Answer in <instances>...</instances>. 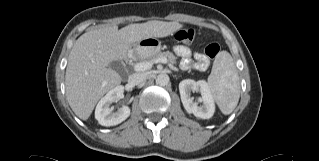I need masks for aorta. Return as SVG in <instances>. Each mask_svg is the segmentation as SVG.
<instances>
[{
    "instance_id": "1",
    "label": "aorta",
    "mask_w": 319,
    "mask_h": 161,
    "mask_svg": "<svg viewBox=\"0 0 319 161\" xmlns=\"http://www.w3.org/2000/svg\"><path fill=\"white\" fill-rule=\"evenodd\" d=\"M169 81L170 78L166 73H160L156 78V83L160 86H166Z\"/></svg>"
}]
</instances>
